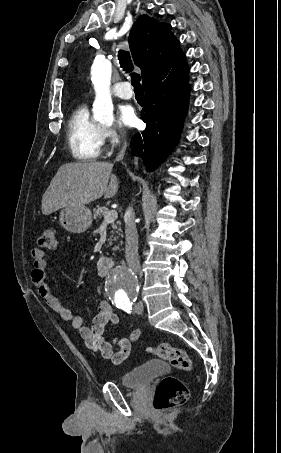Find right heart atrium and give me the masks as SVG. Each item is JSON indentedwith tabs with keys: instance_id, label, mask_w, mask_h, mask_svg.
Instances as JSON below:
<instances>
[{
	"instance_id": "obj_1",
	"label": "right heart atrium",
	"mask_w": 281,
	"mask_h": 453,
	"mask_svg": "<svg viewBox=\"0 0 281 453\" xmlns=\"http://www.w3.org/2000/svg\"><path fill=\"white\" fill-rule=\"evenodd\" d=\"M105 138L112 145H118L125 138L126 132L119 125L105 127Z\"/></svg>"
}]
</instances>
